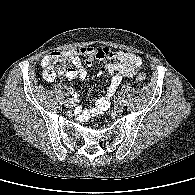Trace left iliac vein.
Returning <instances> with one entry per match:
<instances>
[{
  "label": "left iliac vein",
  "instance_id": "1",
  "mask_svg": "<svg viewBox=\"0 0 195 195\" xmlns=\"http://www.w3.org/2000/svg\"><path fill=\"white\" fill-rule=\"evenodd\" d=\"M114 110L116 112H120L123 110V104L120 102V101H117L115 104H114Z\"/></svg>",
  "mask_w": 195,
  "mask_h": 195
}]
</instances>
